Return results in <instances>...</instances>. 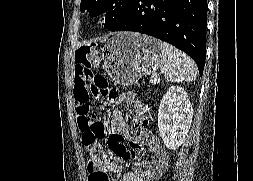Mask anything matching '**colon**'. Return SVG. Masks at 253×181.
Instances as JSON below:
<instances>
[{"label":"colon","instance_id":"1","mask_svg":"<svg viewBox=\"0 0 253 181\" xmlns=\"http://www.w3.org/2000/svg\"><path fill=\"white\" fill-rule=\"evenodd\" d=\"M100 47L97 41H86L76 52V61L90 71L87 90L80 101L78 125L82 142L88 150V162L98 165L105 160L101 140L106 133L105 125L92 114V104L101 101L112 103L119 98L118 90L111 86L107 79L99 74H92L91 67L99 60Z\"/></svg>","mask_w":253,"mask_h":181}]
</instances>
